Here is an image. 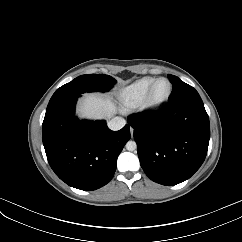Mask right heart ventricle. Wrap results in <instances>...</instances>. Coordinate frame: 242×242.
Instances as JSON below:
<instances>
[{
  "instance_id": "1",
  "label": "right heart ventricle",
  "mask_w": 242,
  "mask_h": 242,
  "mask_svg": "<svg viewBox=\"0 0 242 242\" xmlns=\"http://www.w3.org/2000/svg\"><path fill=\"white\" fill-rule=\"evenodd\" d=\"M154 80L155 78L153 77H145L124 87L119 93V99L122 105L125 108L139 106L143 102Z\"/></svg>"
}]
</instances>
